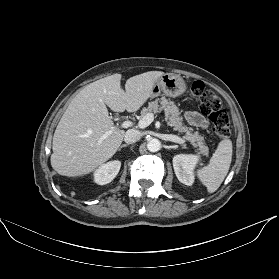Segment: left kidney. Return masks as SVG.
Instances as JSON below:
<instances>
[{
    "label": "left kidney",
    "mask_w": 279,
    "mask_h": 279,
    "mask_svg": "<svg viewBox=\"0 0 279 279\" xmlns=\"http://www.w3.org/2000/svg\"><path fill=\"white\" fill-rule=\"evenodd\" d=\"M200 157L198 155L179 154L173 158V168L178 180L185 185L194 183V168Z\"/></svg>",
    "instance_id": "1"
}]
</instances>
